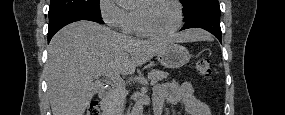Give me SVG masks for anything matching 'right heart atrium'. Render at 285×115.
<instances>
[{"instance_id":"obj_1","label":"right heart atrium","mask_w":285,"mask_h":115,"mask_svg":"<svg viewBox=\"0 0 285 115\" xmlns=\"http://www.w3.org/2000/svg\"><path fill=\"white\" fill-rule=\"evenodd\" d=\"M100 12L103 20L111 27L125 32L131 31V14L115 0H102Z\"/></svg>"}]
</instances>
